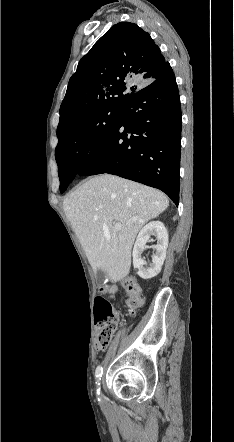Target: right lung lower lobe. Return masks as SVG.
<instances>
[{
    "label": "right lung lower lobe",
    "instance_id": "98d812e1",
    "mask_svg": "<svg viewBox=\"0 0 234 442\" xmlns=\"http://www.w3.org/2000/svg\"><path fill=\"white\" fill-rule=\"evenodd\" d=\"M182 114L170 64L122 106L104 142L76 174L109 173L158 188L179 204Z\"/></svg>",
    "mask_w": 234,
    "mask_h": 442
}]
</instances>
